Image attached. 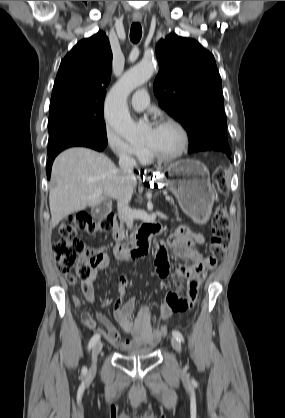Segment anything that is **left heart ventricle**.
<instances>
[{"mask_svg": "<svg viewBox=\"0 0 285 418\" xmlns=\"http://www.w3.org/2000/svg\"><path fill=\"white\" fill-rule=\"evenodd\" d=\"M144 144L150 146L158 154L171 155L179 149L181 135L173 126L161 125L149 129Z\"/></svg>", "mask_w": 285, "mask_h": 418, "instance_id": "obj_1", "label": "left heart ventricle"}]
</instances>
